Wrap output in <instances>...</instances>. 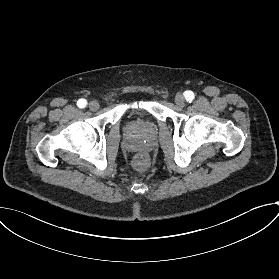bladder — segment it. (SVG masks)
<instances>
[{"mask_svg": "<svg viewBox=\"0 0 279 279\" xmlns=\"http://www.w3.org/2000/svg\"><path fill=\"white\" fill-rule=\"evenodd\" d=\"M138 101H139V100H137V99H135V98H132L131 100H129V104H130V105H137V104H138Z\"/></svg>", "mask_w": 279, "mask_h": 279, "instance_id": "bladder-1", "label": "bladder"}]
</instances>
